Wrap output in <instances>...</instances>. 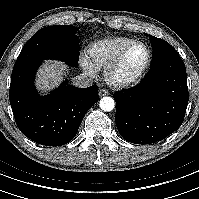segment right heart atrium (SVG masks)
Wrapping results in <instances>:
<instances>
[{
  "label": "right heart atrium",
  "instance_id": "obj_1",
  "mask_svg": "<svg viewBox=\"0 0 199 199\" xmlns=\"http://www.w3.org/2000/svg\"><path fill=\"white\" fill-rule=\"evenodd\" d=\"M80 66L82 67L84 72L87 73L88 75L95 76L98 73V69L93 65L91 60L85 55H82L80 57Z\"/></svg>",
  "mask_w": 199,
  "mask_h": 199
}]
</instances>
